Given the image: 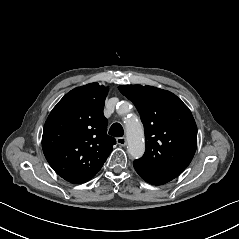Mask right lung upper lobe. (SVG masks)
<instances>
[{"mask_svg":"<svg viewBox=\"0 0 239 239\" xmlns=\"http://www.w3.org/2000/svg\"><path fill=\"white\" fill-rule=\"evenodd\" d=\"M108 87L90 83L68 92L53 108L42 136L44 155L65 180L91 179L116 144L103 115Z\"/></svg>","mask_w":239,"mask_h":239,"instance_id":"1","label":"right lung upper lobe"}]
</instances>
